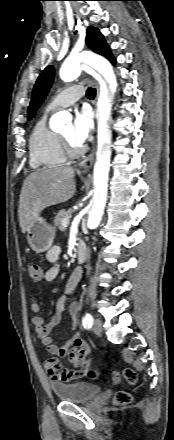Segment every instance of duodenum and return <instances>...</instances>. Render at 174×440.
I'll use <instances>...</instances> for the list:
<instances>
[{"instance_id":"obj_1","label":"duodenum","mask_w":174,"mask_h":440,"mask_svg":"<svg viewBox=\"0 0 174 440\" xmlns=\"http://www.w3.org/2000/svg\"><path fill=\"white\" fill-rule=\"evenodd\" d=\"M76 255H77V260L79 262H83L87 258V246L83 241L77 242Z\"/></svg>"}]
</instances>
